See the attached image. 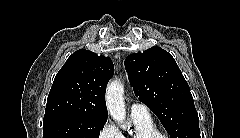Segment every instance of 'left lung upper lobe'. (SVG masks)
I'll return each instance as SVG.
<instances>
[{
    "label": "left lung upper lobe",
    "mask_w": 240,
    "mask_h": 138,
    "mask_svg": "<svg viewBox=\"0 0 240 138\" xmlns=\"http://www.w3.org/2000/svg\"><path fill=\"white\" fill-rule=\"evenodd\" d=\"M134 93L159 118L172 138H200L188 83L170 53L152 47L125 60Z\"/></svg>",
    "instance_id": "1"
}]
</instances>
